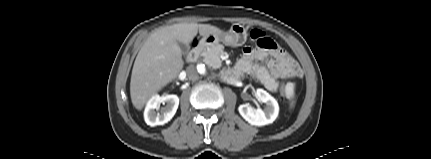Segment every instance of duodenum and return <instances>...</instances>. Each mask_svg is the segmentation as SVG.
Instances as JSON below:
<instances>
[{"label":"duodenum","instance_id":"1","mask_svg":"<svg viewBox=\"0 0 431 159\" xmlns=\"http://www.w3.org/2000/svg\"><path fill=\"white\" fill-rule=\"evenodd\" d=\"M206 44H207V40L194 41L192 44V48L187 56V60L189 62L196 61ZM227 74L229 76L235 77L239 75V72L236 69H230L227 71Z\"/></svg>","mask_w":431,"mask_h":159}]
</instances>
